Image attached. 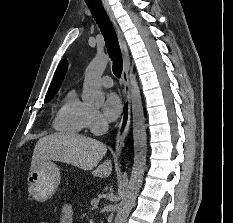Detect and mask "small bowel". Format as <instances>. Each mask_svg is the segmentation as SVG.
Wrapping results in <instances>:
<instances>
[{"instance_id": "c3829d8e", "label": "small bowel", "mask_w": 233, "mask_h": 223, "mask_svg": "<svg viewBox=\"0 0 233 223\" xmlns=\"http://www.w3.org/2000/svg\"><path fill=\"white\" fill-rule=\"evenodd\" d=\"M59 223H73V207L69 203H65L61 208Z\"/></svg>"}]
</instances>
